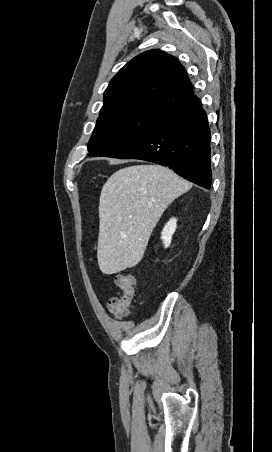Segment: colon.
<instances>
[{
	"label": "colon",
	"mask_w": 272,
	"mask_h": 452,
	"mask_svg": "<svg viewBox=\"0 0 272 452\" xmlns=\"http://www.w3.org/2000/svg\"><path fill=\"white\" fill-rule=\"evenodd\" d=\"M115 283L121 290V295L112 297L108 302V309L117 316H126L130 312L132 299L136 292V281L130 273H118Z\"/></svg>",
	"instance_id": "1"
}]
</instances>
